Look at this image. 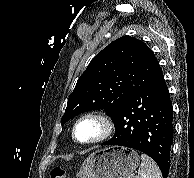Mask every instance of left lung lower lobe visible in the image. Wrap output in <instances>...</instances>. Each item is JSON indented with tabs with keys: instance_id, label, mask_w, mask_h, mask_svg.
<instances>
[{
	"instance_id": "obj_1",
	"label": "left lung lower lobe",
	"mask_w": 194,
	"mask_h": 178,
	"mask_svg": "<svg viewBox=\"0 0 194 178\" xmlns=\"http://www.w3.org/2000/svg\"><path fill=\"white\" fill-rule=\"evenodd\" d=\"M115 135L102 145L124 146L150 156L163 178L170 168L173 110L163 74L127 97L111 116Z\"/></svg>"
}]
</instances>
